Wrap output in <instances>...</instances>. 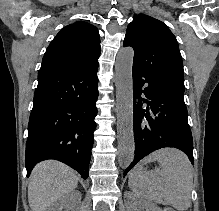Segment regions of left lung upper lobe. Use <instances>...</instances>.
Here are the masks:
<instances>
[{
	"instance_id": "obj_1",
	"label": "left lung upper lobe",
	"mask_w": 219,
	"mask_h": 211,
	"mask_svg": "<svg viewBox=\"0 0 219 211\" xmlns=\"http://www.w3.org/2000/svg\"><path fill=\"white\" fill-rule=\"evenodd\" d=\"M123 46L133 47V68L184 96V70L178 42L161 21L136 15L128 25Z\"/></svg>"
}]
</instances>
